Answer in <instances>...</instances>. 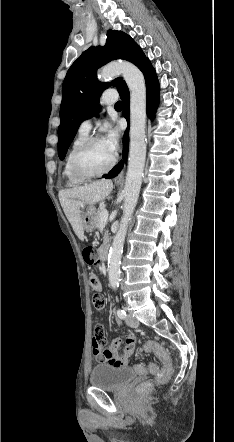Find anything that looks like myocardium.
<instances>
[{"label":"myocardium","instance_id":"obj_1","mask_svg":"<svg viewBox=\"0 0 234 442\" xmlns=\"http://www.w3.org/2000/svg\"><path fill=\"white\" fill-rule=\"evenodd\" d=\"M103 140L101 137L99 136H91V137H87L74 151V153L72 154L71 157V168L73 170V172L75 173L76 176H78L79 178L82 179H92V178H97V177H101L107 173H109L115 166L117 158L115 155H113V158L110 162V164L103 170L98 171V172H90L87 171L86 169H84L81 164H80V160L82 155L86 152V150L95 142L101 141Z\"/></svg>","mask_w":234,"mask_h":442}]
</instances>
